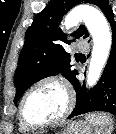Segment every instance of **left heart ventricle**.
I'll return each instance as SVG.
<instances>
[{
	"mask_svg": "<svg viewBox=\"0 0 116 134\" xmlns=\"http://www.w3.org/2000/svg\"><path fill=\"white\" fill-rule=\"evenodd\" d=\"M66 103V94L59 85L44 84L27 96L24 115L33 123L46 122L58 117L64 111Z\"/></svg>",
	"mask_w": 116,
	"mask_h": 134,
	"instance_id": "obj_1",
	"label": "left heart ventricle"
}]
</instances>
